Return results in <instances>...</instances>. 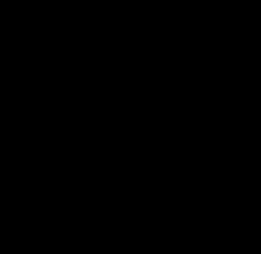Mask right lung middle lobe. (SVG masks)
Instances as JSON below:
<instances>
[{"mask_svg": "<svg viewBox=\"0 0 261 254\" xmlns=\"http://www.w3.org/2000/svg\"><path fill=\"white\" fill-rule=\"evenodd\" d=\"M84 90L72 95L63 107V112L79 117L84 123L82 134L90 145L98 143L102 136L101 128L93 121L90 111V102Z\"/></svg>", "mask_w": 261, "mask_h": 254, "instance_id": "dd1d6c3e", "label": "right lung middle lobe"}]
</instances>
